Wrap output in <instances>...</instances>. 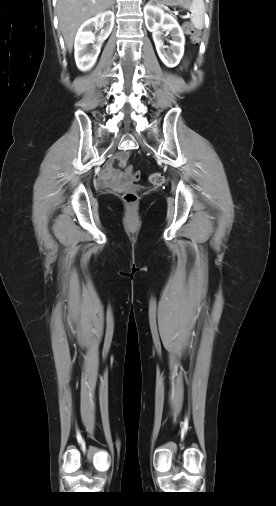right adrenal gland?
<instances>
[{"label":"right adrenal gland","mask_w":276,"mask_h":506,"mask_svg":"<svg viewBox=\"0 0 276 506\" xmlns=\"http://www.w3.org/2000/svg\"><path fill=\"white\" fill-rule=\"evenodd\" d=\"M111 9L114 11V2L111 5Z\"/></svg>","instance_id":"1"}]
</instances>
